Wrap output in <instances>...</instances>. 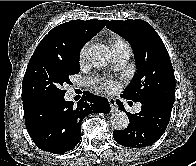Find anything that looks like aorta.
Segmentation results:
<instances>
[{"label": "aorta", "mask_w": 196, "mask_h": 166, "mask_svg": "<svg viewBox=\"0 0 196 166\" xmlns=\"http://www.w3.org/2000/svg\"><path fill=\"white\" fill-rule=\"evenodd\" d=\"M111 59V52L104 45L93 46L88 52V60L96 68L106 67ZM110 122L115 130L120 131L127 128L129 119L125 112L117 110L111 114Z\"/></svg>", "instance_id": "obj_1"}]
</instances>
